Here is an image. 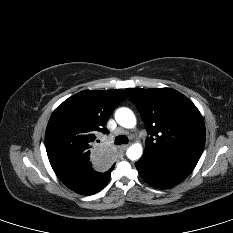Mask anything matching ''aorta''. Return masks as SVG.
I'll return each mask as SVG.
<instances>
[{"mask_svg":"<svg viewBox=\"0 0 233 233\" xmlns=\"http://www.w3.org/2000/svg\"><path fill=\"white\" fill-rule=\"evenodd\" d=\"M115 120L120 126L128 129L134 128L136 125L134 113L126 107L117 109L115 112ZM142 153L143 148L141 144L135 143L128 148L126 155L130 160H138L142 156Z\"/></svg>","mask_w":233,"mask_h":233,"instance_id":"1","label":"aorta"}]
</instances>
